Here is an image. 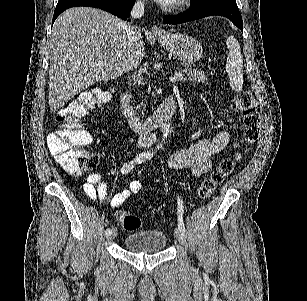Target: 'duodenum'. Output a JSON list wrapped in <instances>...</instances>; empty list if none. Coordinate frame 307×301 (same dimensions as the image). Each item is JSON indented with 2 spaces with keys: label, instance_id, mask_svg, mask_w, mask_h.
Here are the masks:
<instances>
[{
  "label": "duodenum",
  "instance_id": "410a0bca",
  "mask_svg": "<svg viewBox=\"0 0 307 301\" xmlns=\"http://www.w3.org/2000/svg\"><path fill=\"white\" fill-rule=\"evenodd\" d=\"M120 105L122 113L130 126L137 132L148 133L175 114L177 110V97L175 95L169 96L156 112L146 118L139 117L135 112L128 92L122 93Z\"/></svg>",
  "mask_w": 307,
  "mask_h": 301
}]
</instances>
